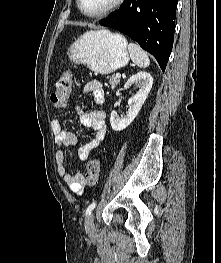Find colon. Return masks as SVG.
I'll return each mask as SVG.
<instances>
[{"mask_svg": "<svg viewBox=\"0 0 221 263\" xmlns=\"http://www.w3.org/2000/svg\"><path fill=\"white\" fill-rule=\"evenodd\" d=\"M71 76L69 72L62 73L56 81L55 90L51 94V103L54 107H64L71 94ZM100 175V162L97 159L89 160L86 166V183L95 185Z\"/></svg>", "mask_w": 221, "mask_h": 263, "instance_id": "5ec220e1", "label": "colon"}]
</instances>
